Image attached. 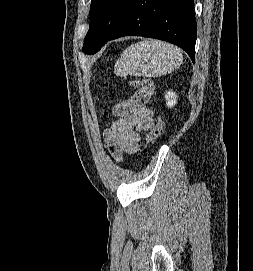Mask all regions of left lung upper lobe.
Masks as SVG:
<instances>
[{
    "mask_svg": "<svg viewBox=\"0 0 253 271\" xmlns=\"http://www.w3.org/2000/svg\"><path fill=\"white\" fill-rule=\"evenodd\" d=\"M130 6L131 0H91V19L83 51L87 54L98 52Z\"/></svg>",
    "mask_w": 253,
    "mask_h": 271,
    "instance_id": "5c2ea615",
    "label": "left lung upper lobe"
}]
</instances>
